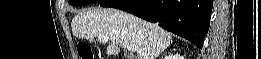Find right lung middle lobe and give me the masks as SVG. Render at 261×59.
<instances>
[{
  "mask_svg": "<svg viewBox=\"0 0 261 59\" xmlns=\"http://www.w3.org/2000/svg\"><path fill=\"white\" fill-rule=\"evenodd\" d=\"M104 0H70V4L74 5H85V4H95V3H101Z\"/></svg>",
  "mask_w": 261,
  "mask_h": 59,
  "instance_id": "right-lung-middle-lobe-1",
  "label": "right lung middle lobe"
}]
</instances>
